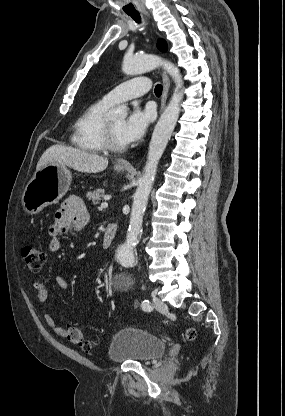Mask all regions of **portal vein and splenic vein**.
<instances>
[{"label":"portal vein and splenic vein","instance_id":"1","mask_svg":"<svg viewBox=\"0 0 285 416\" xmlns=\"http://www.w3.org/2000/svg\"><path fill=\"white\" fill-rule=\"evenodd\" d=\"M103 208H108V204H107V202H102V204H101V206H100L99 210H103Z\"/></svg>","mask_w":285,"mask_h":416}]
</instances>
